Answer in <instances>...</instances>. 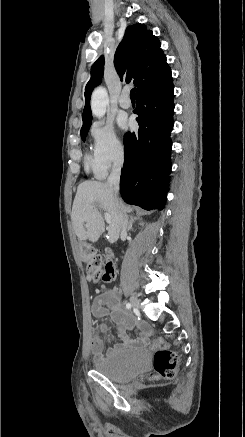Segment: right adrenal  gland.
<instances>
[{"mask_svg": "<svg viewBox=\"0 0 245 437\" xmlns=\"http://www.w3.org/2000/svg\"><path fill=\"white\" fill-rule=\"evenodd\" d=\"M137 219H139V218H137V217H135V216H133V215H131V216L126 215V221H127V228H128V231H130V230L132 229L133 223H134ZM140 225L143 226V222H141Z\"/></svg>", "mask_w": 245, "mask_h": 437, "instance_id": "2a0ac1e0", "label": "right adrenal gland"}]
</instances>
